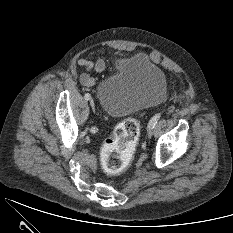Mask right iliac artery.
Returning <instances> with one entry per match:
<instances>
[{"label": "right iliac artery", "instance_id": "82829eb1", "mask_svg": "<svg viewBox=\"0 0 233 233\" xmlns=\"http://www.w3.org/2000/svg\"><path fill=\"white\" fill-rule=\"evenodd\" d=\"M84 98H85L86 100H89V99L91 98V96H90L89 93H86V94L84 95Z\"/></svg>", "mask_w": 233, "mask_h": 233}]
</instances>
